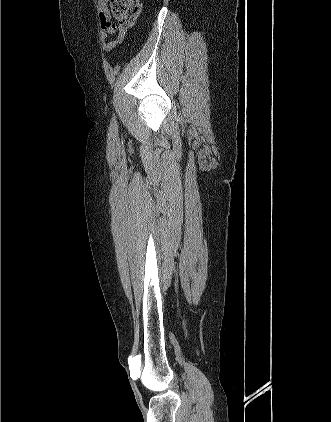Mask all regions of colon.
<instances>
[{
  "label": "colon",
  "mask_w": 331,
  "mask_h": 422,
  "mask_svg": "<svg viewBox=\"0 0 331 422\" xmlns=\"http://www.w3.org/2000/svg\"><path fill=\"white\" fill-rule=\"evenodd\" d=\"M113 17L124 27L132 26L141 12V0H108Z\"/></svg>",
  "instance_id": "colon-1"
}]
</instances>
